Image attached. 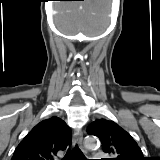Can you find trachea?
<instances>
[{"label":"trachea","mask_w":160,"mask_h":160,"mask_svg":"<svg viewBox=\"0 0 160 160\" xmlns=\"http://www.w3.org/2000/svg\"><path fill=\"white\" fill-rule=\"evenodd\" d=\"M64 160H86L81 150L78 148V146H75L74 151H71L68 149Z\"/></svg>","instance_id":"1"}]
</instances>
